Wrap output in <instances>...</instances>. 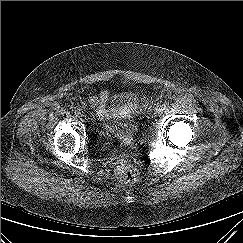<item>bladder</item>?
Here are the masks:
<instances>
[{"label": "bladder", "instance_id": "obj_1", "mask_svg": "<svg viewBox=\"0 0 243 243\" xmlns=\"http://www.w3.org/2000/svg\"><path fill=\"white\" fill-rule=\"evenodd\" d=\"M117 134V131L111 127V125H101L96 130V139L100 143H105L109 140H111L115 135ZM135 135L134 131H131L129 133V136L132 138Z\"/></svg>", "mask_w": 243, "mask_h": 243}]
</instances>
